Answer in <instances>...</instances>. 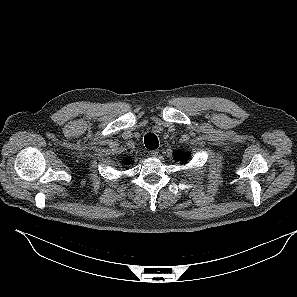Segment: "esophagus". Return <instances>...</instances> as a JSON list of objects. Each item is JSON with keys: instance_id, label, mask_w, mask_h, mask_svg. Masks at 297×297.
Returning <instances> with one entry per match:
<instances>
[{"instance_id": "obj_1", "label": "esophagus", "mask_w": 297, "mask_h": 297, "mask_svg": "<svg viewBox=\"0 0 297 297\" xmlns=\"http://www.w3.org/2000/svg\"><path fill=\"white\" fill-rule=\"evenodd\" d=\"M151 156L156 157L159 154V150H152L150 151Z\"/></svg>"}]
</instances>
